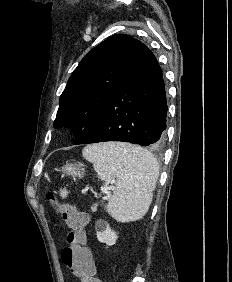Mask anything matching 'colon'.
Masks as SVG:
<instances>
[{
	"instance_id": "obj_1",
	"label": "colon",
	"mask_w": 232,
	"mask_h": 282,
	"mask_svg": "<svg viewBox=\"0 0 232 282\" xmlns=\"http://www.w3.org/2000/svg\"><path fill=\"white\" fill-rule=\"evenodd\" d=\"M47 198L56 204L66 225L69 228L66 240L68 246L62 251V260L81 282H102L95 276L92 255L85 246L87 216L80 212L72 203H57L53 193H47Z\"/></svg>"
}]
</instances>
